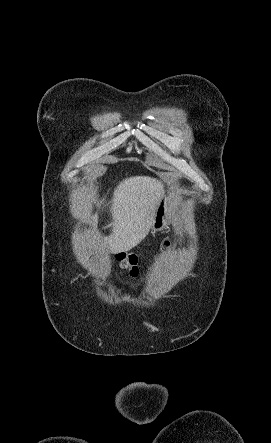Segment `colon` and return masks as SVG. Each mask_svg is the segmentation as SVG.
Instances as JSON below:
<instances>
[{"label": "colon", "instance_id": "5ec220e1", "mask_svg": "<svg viewBox=\"0 0 271 443\" xmlns=\"http://www.w3.org/2000/svg\"><path fill=\"white\" fill-rule=\"evenodd\" d=\"M116 258L127 276L135 278L138 275V257L135 253L122 252Z\"/></svg>", "mask_w": 271, "mask_h": 443}]
</instances>
